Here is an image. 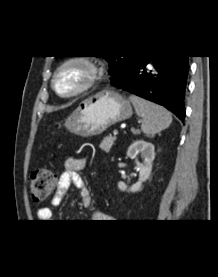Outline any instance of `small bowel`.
Masks as SVG:
<instances>
[{
  "instance_id": "small-bowel-1",
  "label": "small bowel",
  "mask_w": 218,
  "mask_h": 277,
  "mask_svg": "<svg viewBox=\"0 0 218 277\" xmlns=\"http://www.w3.org/2000/svg\"><path fill=\"white\" fill-rule=\"evenodd\" d=\"M64 166L65 169L59 177L51 204L53 206H58L68 192L70 185L74 184L80 190L83 205L89 207L92 202L91 193L83 178L80 176V172L86 166V159L81 157H69L65 160ZM36 215L40 222H47L52 218V210L49 207H40L37 209ZM94 218L100 220L104 218V215L100 212H95Z\"/></svg>"
}]
</instances>
